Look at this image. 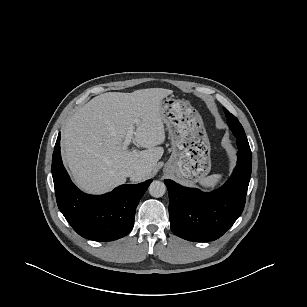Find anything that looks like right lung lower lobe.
I'll list each match as a JSON object with an SVG mask.
<instances>
[{"instance_id": "obj_1", "label": "right lung lower lobe", "mask_w": 307, "mask_h": 307, "mask_svg": "<svg viewBox=\"0 0 307 307\" xmlns=\"http://www.w3.org/2000/svg\"><path fill=\"white\" fill-rule=\"evenodd\" d=\"M60 138L59 135L52 157V176L59 210L84 238L104 242L127 235L133 228L138 202L152 179L136 185H121L104 195H87L72 183L62 164Z\"/></svg>"}]
</instances>
